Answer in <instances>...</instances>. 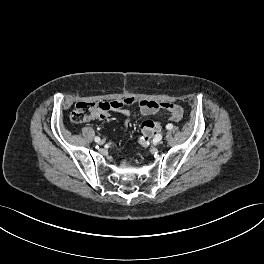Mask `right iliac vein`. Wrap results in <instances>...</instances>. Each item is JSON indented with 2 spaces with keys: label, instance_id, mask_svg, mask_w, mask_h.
I'll list each match as a JSON object with an SVG mask.
<instances>
[{
  "label": "right iliac vein",
  "instance_id": "1",
  "mask_svg": "<svg viewBox=\"0 0 264 264\" xmlns=\"http://www.w3.org/2000/svg\"><path fill=\"white\" fill-rule=\"evenodd\" d=\"M106 143V140L105 139H102L99 141V144L102 145V144H105Z\"/></svg>",
  "mask_w": 264,
  "mask_h": 264
}]
</instances>
